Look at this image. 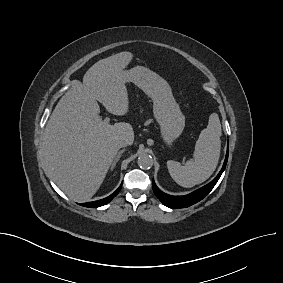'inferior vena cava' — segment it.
I'll return each instance as SVG.
<instances>
[{"label":"inferior vena cava","mask_w":283,"mask_h":283,"mask_svg":"<svg viewBox=\"0 0 283 283\" xmlns=\"http://www.w3.org/2000/svg\"><path fill=\"white\" fill-rule=\"evenodd\" d=\"M117 145H118L119 148L126 147L128 145V141L121 139V140L118 141Z\"/></svg>","instance_id":"inferior-vena-cava-1"}]
</instances>
